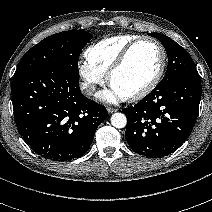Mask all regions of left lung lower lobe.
Instances as JSON below:
<instances>
[{
	"mask_svg": "<svg viewBox=\"0 0 212 212\" xmlns=\"http://www.w3.org/2000/svg\"><path fill=\"white\" fill-rule=\"evenodd\" d=\"M197 72L154 90L135 106L124 108L125 138L136 153L152 158L178 149L191 133L201 99Z\"/></svg>",
	"mask_w": 212,
	"mask_h": 212,
	"instance_id": "left-lung-lower-lobe-1",
	"label": "left lung lower lobe"
}]
</instances>
